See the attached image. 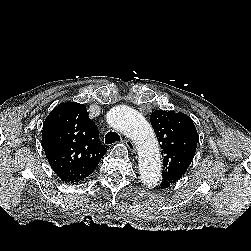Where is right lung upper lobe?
<instances>
[{"mask_svg":"<svg viewBox=\"0 0 251 251\" xmlns=\"http://www.w3.org/2000/svg\"><path fill=\"white\" fill-rule=\"evenodd\" d=\"M42 146L53 171L67 183L89 176L107 151L86 107L75 102L61 103L48 115Z\"/></svg>","mask_w":251,"mask_h":251,"instance_id":"1","label":"right lung upper lobe"}]
</instances>
